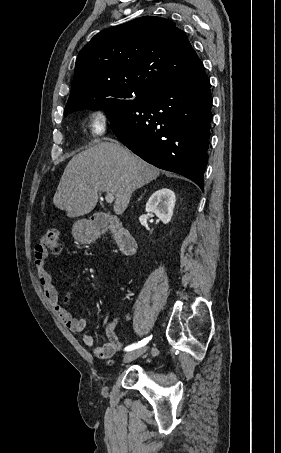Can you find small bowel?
I'll return each instance as SVG.
<instances>
[{
    "mask_svg": "<svg viewBox=\"0 0 281 453\" xmlns=\"http://www.w3.org/2000/svg\"><path fill=\"white\" fill-rule=\"evenodd\" d=\"M47 252L45 250H39L36 254V265H35V275L39 281V284L43 290L44 296L48 304L58 313L61 321L65 323L66 327L75 333L82 334L81 339L85 345L94 348L96 339L93 335L84 333L86 328V320L84 318L74 317L68 308L61 304L56 292L55 284L53 277L45 265V257ZM80 295V292L77 290H69L66 294V301H71L76 299ZM102 324L106 331L107 343L96 348L97 354L101 360H111L116 353L124 351V346L118 340L115 332L114 325L115 320L114 316L111 313H108Z\"/></svg>",
    "mask_w": 281,
    "mask_h": 453,
    "instance_id": "small-bowel-1",
    "label": "small bowel"
}]
</instances>
